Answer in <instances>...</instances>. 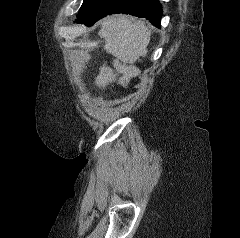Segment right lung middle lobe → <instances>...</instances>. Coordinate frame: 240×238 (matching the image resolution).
<instances>
[{
  "label": "right lung middle lobe",
  "instance_id": "right-lung-middle-lobe-1",
  "mask_svg": "<svg viewBox=\"0 0 240 238\" xmlns=\"http://www.w3.org/2000/svg\"><path fill=\"white\" fill-rule=\"evenodd\" d=\"M123 0H84L77 23L93 25L98 19L111 12Z\"/></svg>",
  "mask_w": 240,
  "mask_h": 238
}]
</instances>
